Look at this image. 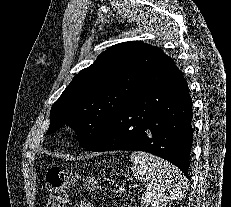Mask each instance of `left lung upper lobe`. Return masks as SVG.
Instances as JSON below:
<instances>
[{"label": "left lung upper lobe", "mask_w": 231, "mask_h": 207, "mask_svg": "<svg viewBox=\"0 0 231 207\" xmlns=\"http://www.w3.org/2000/svg\"><path fill=\"white\" fill-rule=\"evenodd\" d=\"M163 55L159 48L140 41L120 43L101 53L74 76L54 103L47 134L68 125L77 132L79 144L89 149L146 87Z\"/></svg>", "instance_id": "obj_1"}]
</instances>
